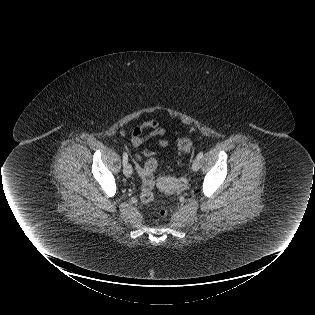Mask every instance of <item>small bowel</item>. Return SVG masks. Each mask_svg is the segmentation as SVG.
<instances>
[{
	"mask_svg": "<svg viewBox=\"0 0 315 315\" xmlns=\"http://www.w3.org/2000/svg\"><path fill=\"white\" fill-rule=\"evenodd\" d=\"M145 129H150V132L147 134H144L143 131ZM166 133V129L161 125V122L158 119H150L142 122L138 126L134 127L131 132V142L133 146L140 147L144 143H146L148 140L163 136ZM157 145L161 148H167L169 146V141L166 139H160L157 143ZM142 154L146 157H152L155 155V152L145 148L142 152ZM135 166L137 170L141 171V155L138 153H135L133 156Z\"/></svg>",
	"mask_w": 315,
	"mask_h": 315,
	"instance_id": "obj_1",
	"label": "small bowel"
}]
</instances>
